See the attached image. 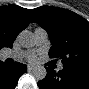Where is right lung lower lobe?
Here are the masks:
<instances>
[{
  "instance_id": "obj_1",
  "label": "right lung lower lobe",
  "mask_w": 89,
  "mask_h": 89,
  "mask_svg": "<svg viewBox=\"0 0 89 89\" xmlns=\"http://www.w3.org/2000/svg\"><path fill=\"white\" fill-rule=\"evenodd\" d=\"M27 71L26 65L15 62L13 65H5L0 62V87L2 89H14L19 77Z\"/></svg>"
}]
</instances>
